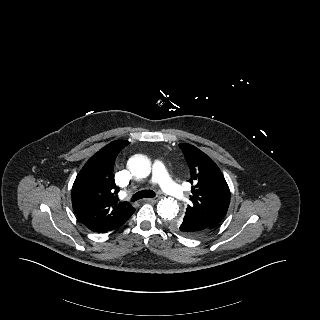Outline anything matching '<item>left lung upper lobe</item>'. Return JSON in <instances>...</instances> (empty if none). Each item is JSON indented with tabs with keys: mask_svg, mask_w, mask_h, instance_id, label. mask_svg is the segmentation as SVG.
Masks as SVG:
<instances>
[{
	"mask_svg": "<svg viewBox=\"0 0 320 320\" xmlns=\"http://www.w3.org/2000/svg\"><path fill=\"white\" fill-rule=\"evenodd\" d=\"M179 146L191 172V202L185 215L193 216L198 222L214 229L225 217L229 207L230 190L227 182L215 162L204 152L187 143ZM179 221L172 222L174 228L178 227Z\"/></svg>",
	"mask_w": 320,
	"mask_h": 320,
	"instance_id": "obj_1",
	"label": "left lung upper lobe"
}]
</instances>
